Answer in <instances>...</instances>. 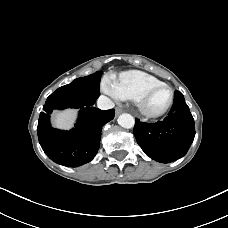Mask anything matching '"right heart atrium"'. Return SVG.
Returning a JSON list of instances; mask_svg holds the SVG:
<instances>
[{"mask_svg": "<svg viewBox=\"0 0 228 228\" xmlns=\"http://www.w3.org/2000/svg\"><path fill=\"white\" fill-rule=\"evenodd\" d=\"M114 84L115 81L113 80V78L111 76H106L103 81V88L108 94H110L115 99H120L115 92Z\"/></svg>", "mask_w": 228, "mask_h": 228, "instance_id": "right-heart-atrium-1", "label": "right heart atrium"}]
</instances>
